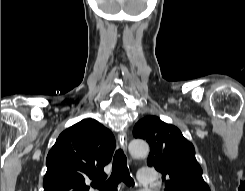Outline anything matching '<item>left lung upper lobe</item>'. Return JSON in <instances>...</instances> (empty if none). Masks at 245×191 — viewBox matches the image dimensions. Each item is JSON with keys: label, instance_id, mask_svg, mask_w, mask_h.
<instances>
[{"label": "left lung upper lobe", "instance_id": "left-lung-upper-lobe-1", "mask_svg": "<svg viewBox=\"0 0 245 191\" xmlns=\"http://www.w3.org/2000/svg\"><path fill=\"white\" fill-rule=\"evenodd\" d=\"M133 136L149 143L147 165L162 173L163 191H210L195 158L193 144L176 126L150 115L138 121Z\"/></svg>", "mask_w": 245, "mask_h": 191}]
</instances>
